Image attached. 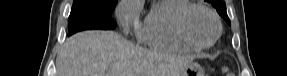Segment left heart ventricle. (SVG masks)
Listing matches in <instances>:
<instances>
[{
	"label": "left heart ventricle",
	"instance_id": "b2bd125f",
	"mask_svg": "<svg viewBox=\"0 0 287 76\" xmlns=\"http://www.w3.org/2000/svg\"><path fill=\"white\" fill-rule=\"evenodd\" d=\"M187 29L191 37L199 43L210 42L217 31L212 17L203 10H194L188 17Z\"/></svg>",
	"mask_w": 287,
	"mask_h": 76
}]
</instances>
